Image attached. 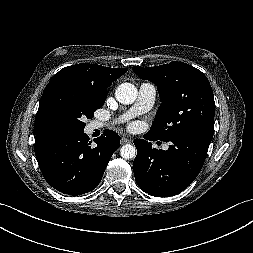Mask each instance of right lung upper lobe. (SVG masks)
I'll return each instance as SVG.
<instances>
[{
  "label": "right lung upper lobe",
  "mask_w": 253,
  "mask_h": 253,
  "mask_svg": "<svg viewBox=\"0 0 253 253\" xmlns=\"http://www.w3.org/2000/svg\"><path fill=\"white\" fill-rule=\"evenodd\" d=\"M128 68H109L90 63H81L63 68L49 83L56 81L75 82L86 85L98 92L107 93V88Z\"/></svg>",
  "instance_id": "obj_1"
}]
</instances>
